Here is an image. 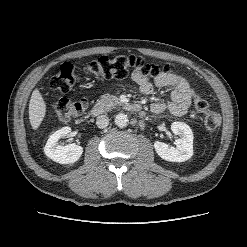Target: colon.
<instances>
[{
    "label": "colon",
    "mask_w": 247,
    "mask_h": 247,
    "mask_svg": "<svg viewBox=\"0 0 247 247\" xmlns=\"http://www.w3.org/2000/svg\"><path fill=\"white\" fill-rule=\"evenodd\" d=\"M130 71H138L143 76L154 79L164 73L162 68L149 64L142 57L137 56H102L83 69L85 75L98 81L122 79ZM78 80L77 68L70 63H65L61 65L58 72L52 77L50 85L56 91L67 93ZM87 106L88 102L85 98L71 100L62 97L54 101L53 110L59 119L68 121L80 116ZM193 106L197 113L204 116V123L208 129H216L221 124L220 114L210 110L208 103L201 97L194 96Z\"/></svg>",
    "instance_id": "5ec220e1"
}]
</instances>
